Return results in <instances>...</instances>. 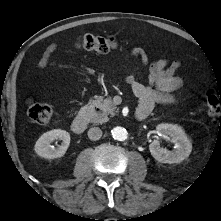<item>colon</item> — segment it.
<instances>
[{
	"instance_id": "colon-1",
	"label": "colon",
	"mask_w": 221,
	"mask_h": 221,
	"mask_svg": "<svg viewBox=\"0 0 221 221\" xmlns=\"http://www.w3.org/2000/svg\"><path fill=\"white\" fill-rule=\"evenodd\" d=\"M77 46L97 52H108L117 46V41L112 36L85 34L79 37ZM206 102L208 116L212 120H217L220 115L221 95L219 96L215 92L209 91L206 95ZM27 114L35 123L48 124L51 121L53 111L49 105L30 99L27 102Z\"/></svg>"
}]
</instances>
